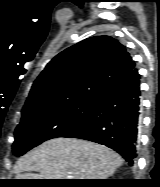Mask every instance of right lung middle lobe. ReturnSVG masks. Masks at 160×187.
<instances>
[{"label": "right lung middle lobe", "mask_w": 160, "mask_h": 187, "mask_svg": "<svg viewBox=\"0 0 160 187\" xmlns=\"http://www.w3.org/2000/svg\"><path fill=\"white\" fill-rule=\"evenodd\" d=\"M98 101L80 98L22 112L15 130L14 155L21 156L46 140L74 130L93 114Z\"/></svg>", "instance_id": "1"}]
</instances>
